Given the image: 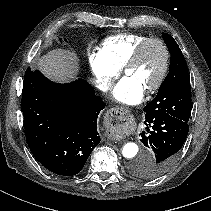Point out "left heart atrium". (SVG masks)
Instances as JSON below:
<instances>
[{
  "label": "left heart atrium",
  "instance_id": "1",
  "mask_svg": "<svg viewBox=\"0 0 211 211\" xmlns=\"http://www.w3.org/2000/svg\"><path fill=\"white\" fill-rule=\"evenodd\" d=\"M145 90L132 77L121 79L113 90V98L124 104L133 105L141 101Z\"/></svg>",
  "mask_w": 211,
  "mask_h": 211
}]
</instances>
